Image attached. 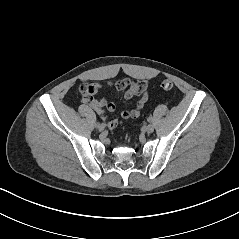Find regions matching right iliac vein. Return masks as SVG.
Masks as SVG:
<instances>
[{"mask_svg": "<svg viewBox=\"0 0 239 239\" xmlns=\"http://www.w3.org/2000/svg\"><path fill=\"white\" fill-rule=\"evenodd\" d=\"M104 125L103 124H100L98 127H97V129L99 130V131H103L104 130Z\"/></svg>", "mask_w": 239, "mask_h": 239, "instance_id": "63e3f726", "label": "right iliac vein"}]
</instances>
